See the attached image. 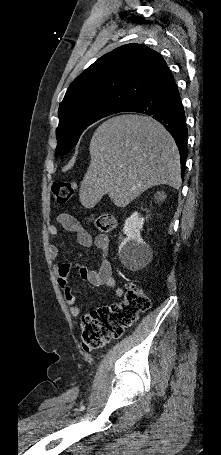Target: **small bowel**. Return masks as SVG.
<instances>
[{"label":"small bowel","mask_w":221,"mask_h":455,"mask_svg":"<svg viewBox=\"0 0 221 455\" xmlns=\"http://www.w3.org/2000/svg\"><path fill=\"white\" fill-rule=\"evenodd\" d=\"M59 222L68 231L74 233L77 237L78 243L83 247H90L92 244L96 246L99 252V263L96 269H88L87 267L72 263L64 262L58 265L55 269L57 275V283L59 287L64 291L66 303L69 307V312L72 316L76 317L81 315L82 309L77 304L76 296L74 295L69 282L68 276L73 268H77L80 277L93 286L105 285L109 288L114 289V295L116 298H122L124 290L117 286L116 279L112 274V266L109 260L110 240L107 235L98 234L94 238L89 232L83 227L81 222L71 215L62 214L59 217ZM49 233L51 236H57L59 234L58 227L51 225L49 227ZM50 256L53 259H57L60 256V249L56 245H51Z\"/></svg>","instance_id":"small-bowel-1"}]
</instances>
